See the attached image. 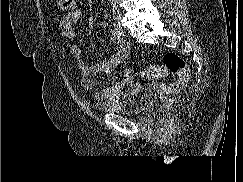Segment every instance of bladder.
I'll return each mask as SVG.
<instances>
[{"label": "bladder", "instance_id": "obj_1", "mask_svg": "<svg viewBox=\"0 0 243 182\" xmlns=\"http://www.w3.org/2000/svg\"><path fill=\"white\" fill-rule=\"evenodd\" d=\"M145 104V95L139 93H130L121 99L96 102L93 104V107L100 113L130 115L139 113Z\"/></svg>", "mask_w": 243, "mask_h": 182}]
</instances>
